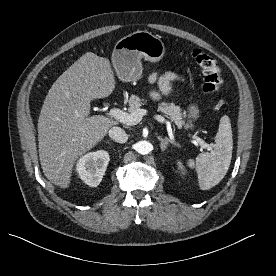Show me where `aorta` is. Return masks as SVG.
Here are the masks:
<instances>
[{
    "mask_svg": "<svg viewBox=\"0 0 276 276\" xmlns=\"http://www.w3.org/2000/svg\"><path fill=\"white\" fill-rule=\"evenodd\" d=\"M135 150L141 155H147L152 150V145L146 140H142L136 143Z\"/></svg>",
    "mask_w": 276,
    "mask_h": 276,
    "instance_id": "1",
    "label": "aorta"
}]
</instances>
